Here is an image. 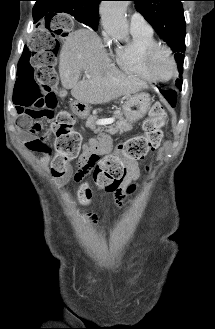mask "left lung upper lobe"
Masks as SVG:
<instances>
[{"label": "left lung upper lobe", "mask_w": 215, "mask_h": 329, "mask_svg": "<svg viewBox=\"0 0 215 329\" xmlns=\"http://www.w3.org/2000/svg\"><path fill=\"white\" fill-rule=\"evenodd\" d=\"M136 9L152 25L157 34L170 46L179 70L176 86L182 88L186 24L183 0H132Z\"/></svg>", "instance_id": "5c2ea615"}]
</instances>
